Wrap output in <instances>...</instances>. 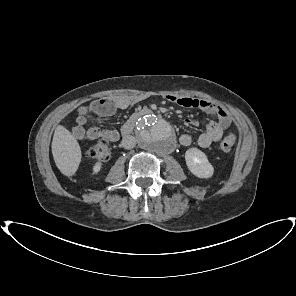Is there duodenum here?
<instances>
[{
	"label": "duodenum",
	"mask_w": 296,
	"mask_h": 296,
	"mask_svg": "<svg viewBox=\"0 0 296 296\" xmlns=\"http://www.w3.org/2000/svg\"><path fill=\"white\" fill-rule=\"evenodd\" d=\"M152 111L150 109H141L135 113H133L130 118L124 123L121 128V134L126 137L131 134L133 131L137 120L145 115L151 114Z\"/></svg>",
	"instance_id": "obj_1"
}]
</instances>
